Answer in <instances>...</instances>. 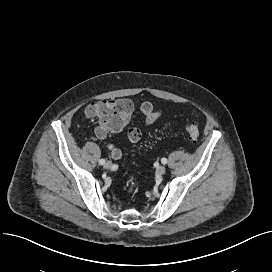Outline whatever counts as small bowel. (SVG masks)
<instances>
[{"mask_svg":"<svg viewBox=\"0 0 272 272\" xmlns=\"http://www.w3.org/2000/svg\"><path fill=\"white\" fill-rule=\"evenodd\" d=\"M104 106H113L117 108L120 114L126 118V122L128 121L134 108L132 101L128 98L109 99L105 101L90 103L86 109L87 115L91 117H96L98 115V110ZM140 110L144 119V123L147 126L152 125L161 116V110L159 108H154L150 102H143L141 104ZM128 139L131 143H136L140 140V138L133 139L129 136ZM105 147L113 159H121L122 151L120 148L111 143H107Z\"/></svg>","mask_w":272,"mask_h":272,"instance_id":"c3829d8e","label":"small bowel"}]
</instances>
